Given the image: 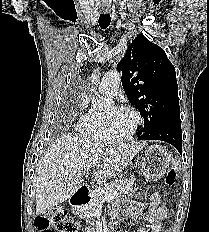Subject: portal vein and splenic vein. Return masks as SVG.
Returning a JSON list of instances; mask_svg holds the SVG:
<instances>
[{
  "mask_svg": "<svg viewBox=\"0 0 209 232\" xmlns=\"http://www.w3.org/2000/svg\"><path fill=\"white\" fill-rule=\"evenodd\" d=\"M91 166H96V162H93ZM120 194L118 192L113 193H106L102 196V201H108V200H114L116 199Z\"/></svg>",
  "mask_w": 209,
  "mask_h": 232,
  "instance_id": "portal-vein-and-splenic-vein-1",
  "label": "portal vein and splenic vein"
}]
</instances>
